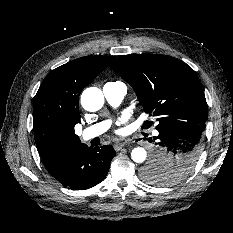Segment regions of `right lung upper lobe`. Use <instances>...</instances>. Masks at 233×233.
<instances>
[{
    "mask_svg": "<svg viewBox=\"0 0 233 233\" xmlns=\"http://www.w3.org/2000/svg\"><path fill=\"white\" fill-rule=\"evenodd\" d=\"M108 56H85L47 74L36 93L33 131L43 161L82 144L74 133L80 123L79 95L112 61Z\"/></svg>",
    "mask_w": 233,
    "mask_h": 233,
    "instance_id": "cb5924a9",
    "label": "right lung upper lobe"
}]
</instances>
